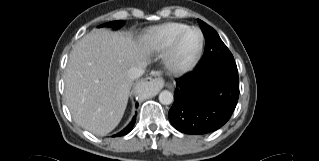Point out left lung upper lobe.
<instances>
[{
    "label": "left lung upper lobe",
    "mask_w": 319,
    "mask_h": 161,
    "mask_svg": "<svg viewBox=\"0 0 319 161\" xmlns=\"http://www.w3.org/2000/svg\"><path fill=\"white\" fill-rule=\"evenodd\" d=\"M205 36V51L197 69L223 67L237 70L232 53L220 39L218 33L201 20H197Z\"/></svg>",
    "instance_id": "1"
}]
</instances>
